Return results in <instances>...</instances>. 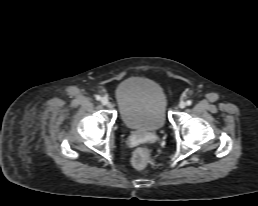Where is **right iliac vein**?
Instances as JSON below:
<instances>
[{
    "label": "right iliac vein",
    "mask_w": 258,
    "mask_h": 206,
    "mask_svg": "<svg viewBox=\"0 0 258 206\" xmlns=\"http://www.w3.org/2000/svg\"><path fill=\"white\" fill-rule=\"evenodd\" d=\"M101 103L105 106L109 105V100L107 97H102L101 98Z\"/></svg>",
    "instance_id": "1"
}]
</instances>
